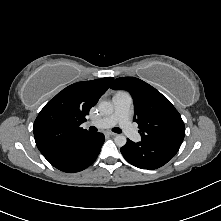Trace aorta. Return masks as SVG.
I'll return each instance as SVG.
<instances>
[{
	"mask_svg": "<svg viewBox=\"0 0 221 221\" xmlns=\"http://www.w3.org/2000/svg\"><path fill=\"white\" fill-rule=\"evenodd\" d=\"M98 108H99L100 113L104 115H110L113 113V110H114L113 104L110 101L100 102ZM114 141L118 147H123L126 144L127 139L124 135L118 134L114 138Z\"/></svg>",
	"mask_w": 221,
	"mask_h": 221,
	"instance_id": "1",
	"label": "aorta"
}]
</instances>
